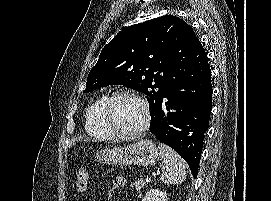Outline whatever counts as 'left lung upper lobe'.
<instances>
[{
    "instance_id": "obj_1",
    "label": "left lung upper lobe",
    "mask_w": 271,
    "mask_h": 201,
    "mask_svg": "<svg viewBox=\"0 0 271 201\" xmlns=\"http://www.w3.org/2000/svg\"><path fill=\"white\" fill-rule=\"evenodd\" d=\"M192 27L176 16H162L129 26L102 49L83 92L123 85L149 96L151 123L166 91L173 51L181 30Z\"/></svg>"
}]
</instances>
